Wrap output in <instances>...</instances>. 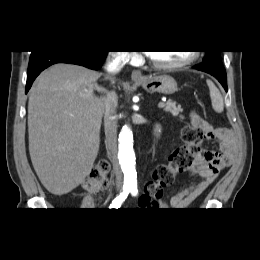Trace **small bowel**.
Instances as JSON below:
<instances>
[{"instance_id":"small-bowel-1","label":"small bowel","mask_w":260,"mask_h":260,"mask_svg":"<svg viewBox=\"0 0 260 260\" xmlns=\"http://www.w3.org/2000/svg\"><path fill=\"white\" fill-rule=\"evenodd\" d=\"M191 122L204 134L208 141H218L219 149H201L196 154L190 175H198L200 180L176 193L170 200L174 209H186L215 181L219 173L230 166L237 152V139L234 132L225 127H215L197 114H192ZM141 207H150L152 203L144 195L141 196Z\"/></svg>"}]
</instances>
